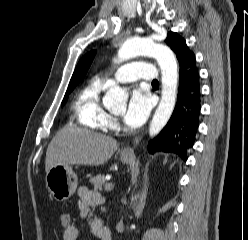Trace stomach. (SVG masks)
I'll use <instances>...</instances> for the list:
<instances>
[{"instance_id":"obj_1","label":"stomach","mask_w":248,"mask_h":240,"mask_svg":"<svg viewBox=\"0 0 248 240\" xmlns=\"http://www.w3.org/2000/svg\"><path fill=\"white\" fill-rule=\"evenodd\" d=\"M123 163H130L133 155H121ZM46 187L57 201L69 199L76 191L78 185L77 175L70 166L57 165L51 168L46 174Z\"/></svg>"}]
</instances>
